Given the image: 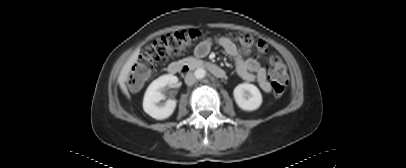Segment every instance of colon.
Masks as SVG:
<instances>
[{
	"label": "colon",
	"instance_id": "5ec220e1",
	"mask_svg": "<svg viewBox=\"0 0 406 168\" xmlns=\"http://www.w3.org/2000/svg\"><path fill=\"white\" fill-rule=\"evenodd\" d=\"M200 37L199 30L188 29L169 33L155 40L132 66L128 76L129 85L134 89L140 88L158 64L185 52ZM232 38L247 54L253 52L262 54L267 51L265 43L255 42L249 34H233ZM270 77L274 95L282 96L288 84V74L285 65L277 57L271 59Z\"/></svg>",
	"mask_w": 406,
	"mask_h": 168
}]
</instances>
